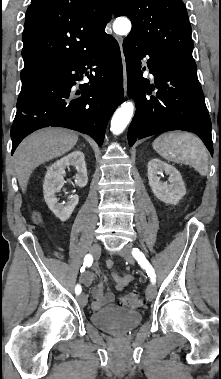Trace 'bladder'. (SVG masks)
<instances>
[{"instance_id": "31cf9c89", "label": "bladder", "mask_w": 221, "mask_h": 379, "mask_svg": "<svg viewBox=\"0 0 221 379\" xmlns=\"http://www.w3.org/2000/svg\"><path fill=\"white\" fill-rule=\"evenodd\" d=\"M142 315L136 310L109 306L91 314L92 323L114 335L125 334L140 324Z\"/></svg>"}]
</instances>
